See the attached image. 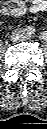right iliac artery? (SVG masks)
<instances>
[{"instance_id": "1", "label": "right iliac artery", "mask_w": 47, "mask_h": 129, "mask_svg": "<svg viewBox=\"0 0 47 129\" xmlns=\"http://www.w3.org/2000/svg\"><path fill=\"white\" fill-rule=\"evenodd\" d=\"M25 31L28 33V34H32L34 31H35V29L33 28V27H26L25 28Z\"/></svg>"}]
</instances>
